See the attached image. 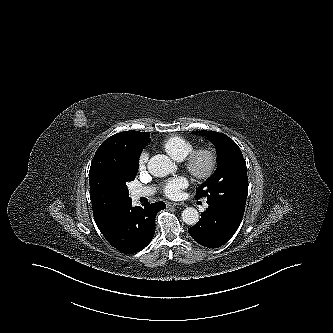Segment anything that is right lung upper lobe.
<instances>
[{
    "mask_svg": "<svg viewBox=\"0 0 333 333\" xmlns=\"http://www.w3.org/2000/svg\"><path fill=\"white\" fill-rule=\"evenodd\" d=\"M150 132L124 131L105 140L96 151L90 167V199L99 230L114 212L131 198L122 187V178L150 142Z\"/></svg>",
    "mask_w": 333,
    "mask_h": 333,
    "instance_id": "cb5924a9",
    "label": "right lung upper lobe"
}]
</instances>
